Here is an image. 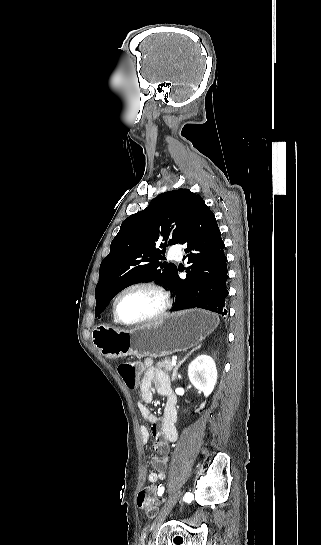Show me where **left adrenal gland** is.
<instances>
[{"mask_svg": "<svg viewBox=\"0 0 321 545\" xmlns=\"http://www.w3.org/2000/svg\"><path fill=\"white\" fill-rule=\"evenodd\" d=\"M194 351H196V349H193V351H190V353H188V355H186V357H184V359H182V361H180V363H178V365H176V367H175V369L173 371L172 381H175L180 365H182V363H184V361H186V359H188L189 355H192V353H194Z\"/></svg>", "mask_w": 321, "mask_h": 545, "instance_id": "a2214340", "label": "left adrenal gland"}]
</instances>
